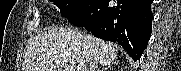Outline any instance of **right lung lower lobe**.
I'll return each mask as SVG.
<instances>
[{
	"instance_id": "98d812e1",
	"label": "right lung lower lobe",
	"mask_w": 181,
	"mask_h": 71,
	"mask_svg": "<svg viewBox=\"0 0 181 71\" xmlns=\"http://www.w3.org/2000/svg\"><path fill=\"white\" fill-rule=\"evenodd\" d=\"M109 2L98 0L85 13L70 17L69 22L85 27L95 37L118 42L134 61L139 60L151 36L153 0H117L113 7Z\"/></svg>"
}]
</instances>
